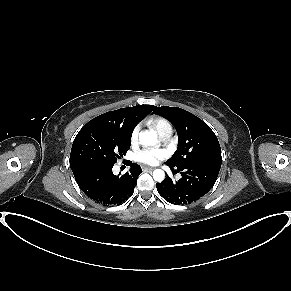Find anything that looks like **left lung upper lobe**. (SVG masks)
Segmentation results:
<instances>
[{"label":"left lung upper lobe","mask_w":291,"mask_h":291,"mask_svg":"<svg viewBox=\"0 0 291 291\" xmlns=\"http://www.w3.org/2000/svg\"><path fill=\"white\" fill-rule=\"evenodd\" d=\"M154 112L168 119L178 133V148L166 164L179 168L198 161H222L215 133L200 118L178 107L155 106Z\"/></svg>","instance_id":"5c2ea615"}]
</instances>
